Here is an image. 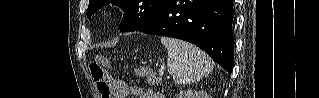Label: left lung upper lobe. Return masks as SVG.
Returning a JSON list of instances; mask_svg holds the SVG:
<instances>
[{
  "label": "left lung upper lobe",
  "instance_id": "left-lung-upper-lobe-1",
  "mask_svg": "<svg viewBox=\"0 0 319 98\" xmlns=\"http://www.w3.org/2000/svg\"><path fill=\"white\" fill-rule=\"evenodd\" d=\"M110 2L121 6L125 11L123 20L118 26L120 32H130L147 24L163 0H90L87 9L88 18Z\"/></svg>",
  "mask_w": 319,
  "mask_h": 98
}]
</instances>
